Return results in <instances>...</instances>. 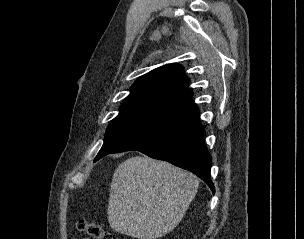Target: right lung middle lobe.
<instances>
[{
  "label": "right lung middle lobe",
  "mask_w": 304,
  "mask_h": 239,
  "mask_svg": "<svg viewBox=\"0 0 304 239\" xmlns=\"http://www.w3.org/2000/svg\"><path fill=\"white\" fill-rule=\"evenodd\" d=\"M168 121L164 117L145 112H120L109 124L104 144L94 161Z\"/></svg>",
  "instance_id": "1"
}]
</instances>
